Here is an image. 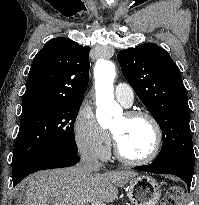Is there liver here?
<instances>
[{"label":"liver","mask_w":199,"mask_h":205,"mask_svg":"<svg viewBox=\"0 0 199 205\" xmlns=\"http://www.w3.org/2000/svg\"><path fill=\"white\" fill-rule=\"evenodd\" d=\"M138 175L130 170L95 171L89 176L79 166L44 170L31 175L25 190L24 205H89L93 201L112 202L117 187Z\"/></svg>","instance_id":"obj_1"}]
</instances>
